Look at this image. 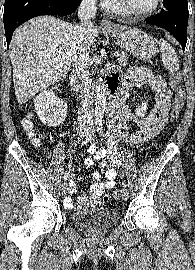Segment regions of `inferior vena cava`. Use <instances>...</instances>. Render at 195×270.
I'll return each mask as SVG.
<instances>
[{"instance_id": "obj_1", "label": "inferior vena cava", "mask_w": 195, "mask_h": 270, "mask_svg": "<svg viewBox=\"0 0 195 270\" xmlns=\"http://www.w3.org/2000/svg\"><path fill=\"white\" fill-rule=\"evenodd\" d=\"M95 0H82L78 9L80 24L76 25L73 32L74 46L72 65L77 74L79 89L81 92L80 101V129L91 131L93 122V93L90 78V28L93 26L92 19L96 15Z\"/></svg>"}]
</instances>
